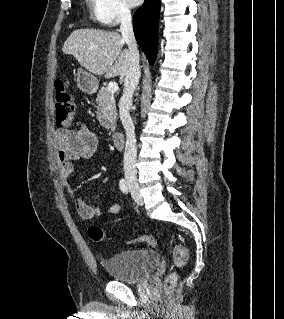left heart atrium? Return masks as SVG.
<instances>
[{
	"label": "left heart atrium",
	"instance_id": "39dd6f15",
	"mask_svg": "<svg viewBox=\"0 0 284 319\" xmlns=\"http://www.w3.org/2000/svg\"><path fill=\"white\" fill-rule=\"evenodd\" d=\"M125 2L129 6L135 7V6L140 5L143 2V0H125Z\"/></svg>",
	"mask_w": 284,
	"mask_h": 319
}]
</instances>
